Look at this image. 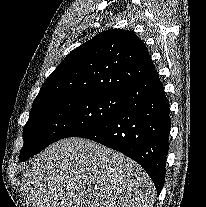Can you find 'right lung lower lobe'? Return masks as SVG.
<instances>
[{
	"instance_id": "right-lung-lower-lobe-1",
	"label": "right lung lower lobe",
	"mask_w": 206,
	"mask_h": 207,
	"mask_svg": "<svg viewBox=\"0 0 206 207\" xmlns=\"http://www.w3.org/2000/svg\"><path fill=\"white\" fill-rule=\"evenodd\" d=\"M124 96L123 105L114 115L76 137L96 141L138 162L160 194L171 121L169 101L158 72L153 71L131 86Z\"/></svg>"
}]
</instances>
